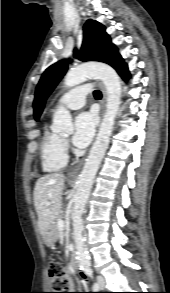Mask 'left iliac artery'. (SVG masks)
<instances>
[{
  "label": "left iliac artery",
  "mask_w": 170,
  "mask_h": 293,
  "mask_svg": "<svg viewBox=\"0 0 170 293\" xmlns=\"http://www.w3.org/2000/svg\"><path fill=\"white\" fill-rule=\"evenodd\" d=\"M84 272L91 278V279H93L94 277H93V271H92V268L91 267H89V266H87V267H85L84 269ZM93 289L94 290H99V285L96 283V282H94V284H93Z\"/></svg>",
  "instance_id": "left-iliac-artery-1"
}]
</instances>
